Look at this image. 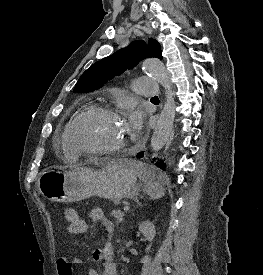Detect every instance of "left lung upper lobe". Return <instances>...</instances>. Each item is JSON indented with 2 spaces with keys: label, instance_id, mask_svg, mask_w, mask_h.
Segmentation results:
<instances>
[{
  "label": "left lung upper lobe",
  "instance_id": "left-lung-upper-lobe-1",
  "mask_svg": "<svg viewBox=\"0 0 263 275\" xmlns=\"http://www.w3.org/2000/svg\"><path fill=\"white\" fill-rule=\"evenodd\" d=\"M159 43L150 39L149 46L144 41H134L126 48L94 63L77 81L74 92H90L101 88L114 76L137 65L148 57L162 59Z\"/></svg>",
  "mask_w": 263,
  "mask_h": 275
}]
</instances>
